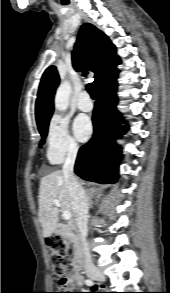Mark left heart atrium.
<instances>
[{"mask_svg":"<svg viewBox=\"0 0 170 293\" xmlns=\"http://www.w3.org/2000/svg\"><path fill=\"white\" fill-rule=\"evenodd\" d=\"M92 124L87 116H78L73 124V131L76 138L80 141H85L89 138L92 133Z\"/></svg>","mask_w":170,"mask_h":293,"instance_id":"obj_1","label":"left heart atrium"}]
</instances>
